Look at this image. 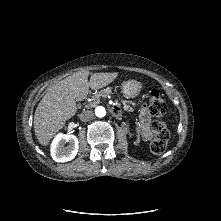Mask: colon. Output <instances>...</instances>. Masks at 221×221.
<instances>
[{
  "label": "colon",
  "mask_w": 221,
  "mask_h": 221,
  "mask_svg": "<svg viewBox=\"0 0 221 221\" xmlns=\"http://www.w3.org/2000/svg\"><path fill=\"white\" fill-rule=\"evenodd\" d=\"M146 104L150 114L156 118L162 117L167 112V105L157 89L150 90ZM151 129L154 133V138L151 141L150 150L153 154H161L166 148L170 136L169 131L160 120H154L151 123Z\"/></svg>",
  "instance_id": "obj_1"
}]
</instances>
